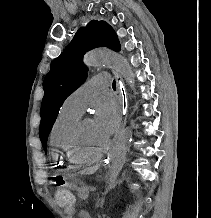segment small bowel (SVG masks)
<instances>
[{
    "mask_svg": "<svg viewBox=\"0 0 211 218\" xmlns=\"http://www.w3.org/2000/svg\"><path fill=\"white\" fill-rule=\"evenodd\" d=\"M66 211H67V213L73 212V207L72 206L68 207Z\"/></svg>",
    "mask_w": 211,
    "mask_h": 218,
    "instance_id": "1",
    "label": "small bowel"
}]
</instances>
